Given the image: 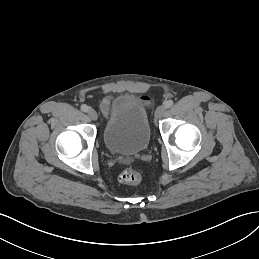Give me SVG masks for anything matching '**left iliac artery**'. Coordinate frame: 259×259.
Returning <instances> with one entry per match:
<instances>
[{
  "label": "left iliac artery",
  "instance_id": "obj_1",
  "mask_svg": "<svg viewBox=\"0 0 259 259\" xmlns=\"http://www.w3.org/2000/svg\"><path fill=\"white\" fill-rule=\"evenodd\" d=\"M172 105H173V100H167V101L165 102V107H166V108H170V107H172Z\"/></svg>",
  "mask_w": 259,
  "mask_h": 259
}]
</instances>
